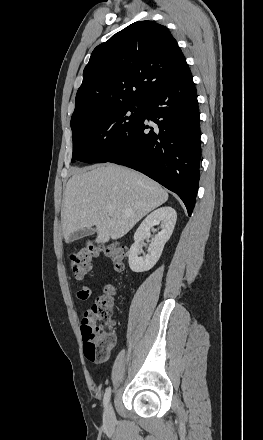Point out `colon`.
<instances>
[{
  "label": "colon",
  "instance_id": "colon-1",
  "mask_svg": "<svg viewBox=\"0 0 263 440\" xmlns=\"http://www.w3.org/2000/svg\"><path fill=\"white\" fill-rule=\"evenodd\" d=\"M104 252L115 270L124 268L127 249L119 242L96 245L86 242L70 255V268L76 279H84L90 272L92 261ZM114 287L107 285L104 295L84 312L81 325L83 352L91 361L104 360L114 344L112 326L114 324L113 295Z\"/></svg>",
  "mask_w": 263,
  "mask_h": 440
}]
</instances>
